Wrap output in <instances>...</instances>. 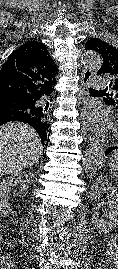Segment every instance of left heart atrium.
I'll use <instances>...</instances> for the list:
<instances>
[{
  "mask_svg": "<svg viewBox=\"0 0 118 269\" xmlns=\"http://www.w3.org/2000/svg\"><path fill=\"white\" fill-rule=\"evenodd\" d=\"M83 122L87 126L102 131L108 124V117L104 112L88 107L82 114Z\"/></svg>",
  "mask_w": 118,
  "mask_h": 269,
  "instance_id": "39dd6f15",
  "label": "left heart atrium"
}]
</instances>
